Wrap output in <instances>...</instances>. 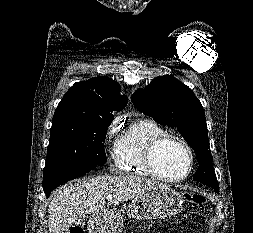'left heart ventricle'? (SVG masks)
<instances>
[{
    "label": "left heart ventricle",
    "mask_w": 253,
    "mask_h": 233,
    "mask_svg": "<svg viewBox=\"0 0 253 233\" xmlns=\"http://www.w3.org/2000/svg\"><path fill=\"white\" fill-rule=\"evenodd\" d=\"M155 162L160 173L168 177L184 175L190 163L186 150L175 143L162 146L156 154Z\"/></svg>",
    "instance_id": "left-heart-ventricle-1"
}]
</instances>
